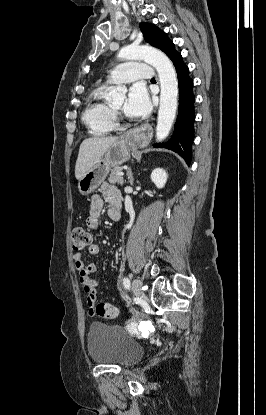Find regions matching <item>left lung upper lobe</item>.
Returning <instances> with one entry per match:
<instances>
[{
	"mask_svg": "<svg viewBox=\"0 0 266 415\" xmlns=\"http://www.w3.org/2000/svg\"><path fill=\"white\" fill-rule=\"evenodd\" d=\"M140 29L145 41L162 50L171 60L178 54L174 48V43L167 37L166 33L155 25L143 22L140 24Z\"/></svg>",
	"mask_w": 266,
	"mask_h": 415,
	"instance_id": "obj_1",
	"label": "left lung upper lobe"
}]
</instances>
